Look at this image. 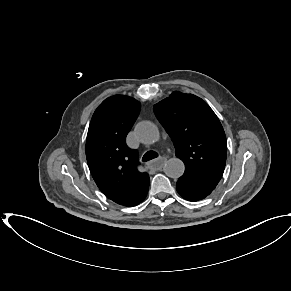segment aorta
<instances>
[{
    "mask_svg": "<svg viewBox=\"0 0 291 291\" xmlns=\"http://www.w3.org/2000/svg\"><path fill=\"white\" fill-rule=\"evenodd\" d=\"M135 134L141 143L148 145L156 143L160 138L158 127L150 121L140 122L135 128ZM184 170V163L180 159H170L164 167L165 174L171 178H179Z\"/></svg>",
    "mask_w": 291,
    "mask_h": 291,
    "instance_id": "obj_1",
    "label": "aorta"
}]
</instances>
